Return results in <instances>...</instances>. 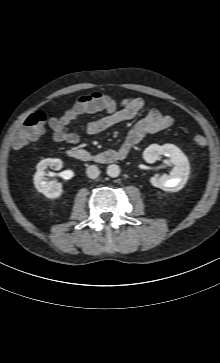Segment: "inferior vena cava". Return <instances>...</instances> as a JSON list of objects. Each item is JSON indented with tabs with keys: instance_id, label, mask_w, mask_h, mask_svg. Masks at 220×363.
Segmentation results:
<instances>
[{
	"instance_id": "obj_1",
	"label": "inferior vena cava",
	"mask_w": 220,
	"mask_h": 363,
	"mask_svg": "<svg viewBox=\"0 0 220 363\" xmlns=\"http://www.w3.org/2000/svg\"><path fill=\"white\" fill-rule=\"evenodd\" d=\"M86 174L89 178L95 179L99 176L100 171L96 165H91L87 168Z\"/></svg>"
}]
</instances>
